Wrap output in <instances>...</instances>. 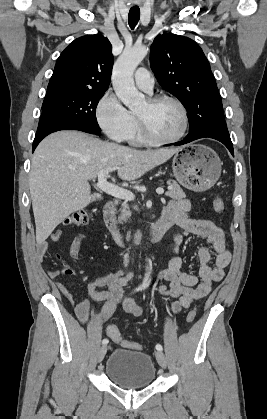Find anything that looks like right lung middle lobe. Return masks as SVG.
I'll return each mask as SVG.
<instances>
[{
	"instance_id": "right-lung-middle-lobe-1",
	"label": "right lung middle lobe",
	"mask_w": 267,
	"mask_h": 419,
	"mask_svg": "<svg viewBox=\"0 0 267 419\" xmlns=\"http://www.w3.org/2000/svg\"><path fill=\"white\" fill-rule=\"evenodd\" d=\"M104 92L64 90L46 93L42 113L100 132L96 107Z\"/></svg>"
}]
</instances>
